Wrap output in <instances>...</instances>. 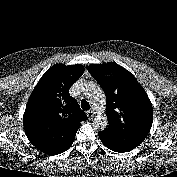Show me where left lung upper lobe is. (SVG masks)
I'll return each mask as SVG.
<instances>
[{
  "mask_svg": "<svg viewBox=\"0 0 177 177\" xmlns=\"http://www.w3.org/2000/svg\"><path fill=\"white\" fill-rule=\"evenodd\" d=\"M89 73L103 88L107 97L108 128L100 132L101 141L135 148L148 135L153 122V107L136 78L116 63L91 64Z\"/></svg>",
  "mask_w": 177,
  "mask_h": 177,
  "instance_id": "obj_1",
  "label": "left lung upper lobe"
}]
</instances>
